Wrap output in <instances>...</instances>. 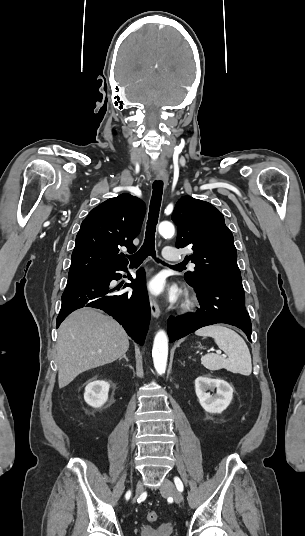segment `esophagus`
Masks as SVG:
<instances>
[{
	"mask_svg": "<svg viewBox=\"0 0 305 536\" xmlns=\"http://www.w3.org/2000/svg\"><path fill=\"white\" fill-rule=\"evenodd\" d=\"M156 180H162L164 182L165 186H166L167 183H168V176L167 175H157ZM149 303H150L152 315L155 318H159V316H160V308H159L158 303H157L156 299L154 298V296L149 295Z\"/></svg>",
	"mask_w": 305,
	"mask_h": 536,
	"instance_id": "obj_1",
	"label": "esophagus"
}]
</instances>
